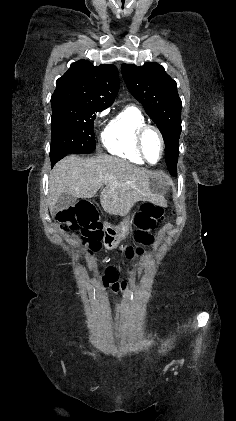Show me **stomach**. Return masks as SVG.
Here are the masks:
<instances>
[{
	"label": "stomach",
	"instance_id": "1",
	"mask_svg": "<svg viewBox=\"0 0 236 421\" xmlns=\"http://www.w3.org/2000/svg\"><path fill=\"white\" fill-rule=\"evenodd\" d=\"M152 190L155 194H161L163 196V178L161 174L158 176H154L151 182ZM132 219L130 217H125L122 223L118 225V227H113V225H108V231H106L104 235V247L105 249H116L118 245H120L121 241L126 239L127 235H129V231L131 229Z\"/></svg>",
	"mask_w": 236,
	"mask_h": 421
}]
</instances>
